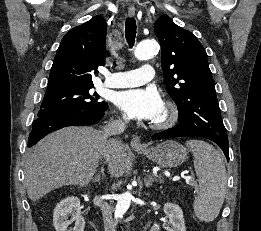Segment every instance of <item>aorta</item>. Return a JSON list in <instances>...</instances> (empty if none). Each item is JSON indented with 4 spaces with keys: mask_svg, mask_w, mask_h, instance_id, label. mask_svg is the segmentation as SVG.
<instances>
[{
    "mask_svg": "<svg viewBox=\"0 0 261 231\" xmlns=\"http://www.w3.org/2000/svg\"><path fill=\"white\" fill-rule=\"evenodd\" d=\"M159 50L158 44L154 40H146L140 42L135 51L134 55L139 60H148L157 54ZM132 194L130 192H125L119 196L115 209V218L120 219L127 212L130 207L132 200Z\"/></svg>",
    "mask_w": 261,
    "mask_h": 231,
    "instance_id": "obj_1",
    "label": "aorta"
}]
</instances>
